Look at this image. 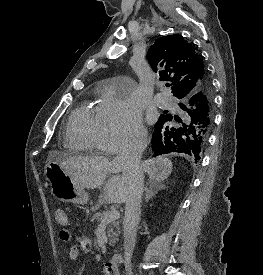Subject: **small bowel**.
Instances as JSON below:
<instances>
[{
	"instance_id": "c3829d8e",
	"label": "small bowel",
	"mask_w": 263,
	"mask_h": 275,
	"mask_svg": "<svg viewBox=\"0 0 263 275\" xmlns=\"http://www.w3.org/2000/svg\"><path fill=\"white\" fill-rule=\"evenodd\" d=\"M67 231L69 232V239L65 240L62 237V234H61L62 232H60L61 240H63V241H70L71 240L72 234L69 230H67ZM91 245H92V243H91V239L89 237H87V236L78 237L76 244L71 246L70 249H69V258L72 261H79L81 255L85 252H88L91 249ZM103 274L104 275H117V269L116 270H110L107 267H105Z\"/></svg>"
}]
</instances>
